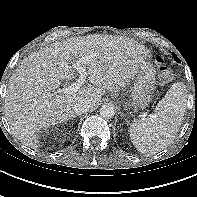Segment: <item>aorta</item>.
<instances>
[{
  "label": "aorta",
  "instance_id": "1",
  "mask_svg": "<svg viewBox=\"0 0 197 197\" xmlns=\"http://www.w3.org/2000/svg\"><path fill=\"white\" fill-rule=\"evenodd\" d=\"M115 112H114V108L111 105H103L100 108V115L101 117L105 118V119H110L114 116Z\"/></svg>",
  "mask_w": 197,
  "mask_h": 197
}]
</instances>
